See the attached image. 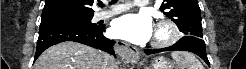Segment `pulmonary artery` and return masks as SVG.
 I'll return each mask as SVG.
<instances>
[{"label": "pulmonary artery", "instance_id": "1", "mask_svg": "<svg viewBox=\"0 0 246 69\" xmlns=\"http://www.w3.org/2000/svg\"><path fill=\"white\" fill-rule=\"evenodd\" d=\"M134 6L135 7H143V6H146L148 4L147 1H140V0H136L133 2ZM124 9H126V7H117V8H114L110 11H101V12H98L96 14L97 16V19H102V18H106V17H109V16H112V15H115L121 11H123Z\"/></svg>", "mask_w": 246, "mask_h": 69}]
</instances>
